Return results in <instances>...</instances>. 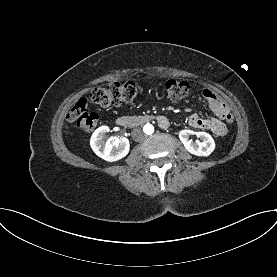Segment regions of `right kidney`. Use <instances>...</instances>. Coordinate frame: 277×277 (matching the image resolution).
Segmentation results:
<instances>
[{
  "label": "right kidney",
  "instance_id": "right-kidney-1",
  "mask_svg": "<svg viewBox=\"0 0 277 277\" xmlns=\"http://www.w3.org/2000/svg\"><path fill=\"white\" fill-rule=\"evenodd\" d=\"M110 131L108 126L97 128L91 136L90 145L95 154L102 159L114 162L124 158L130 150L129 140L111 136L106 139L105 135Z\"/></svg>",
  "mask_w": 277,
  "mask_h": 277
}]
</instances>
